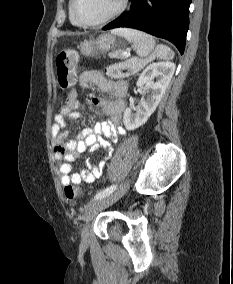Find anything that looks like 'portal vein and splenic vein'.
Instances as JSON below:
<instances>
[{"label": "portal vein and splenic vein", "mask_w": 233, "mask_h": 284, "mask_svg": "<svg viewBox=\"0 0 233 284\" xmlns=\"http://www.w3.org/2000/svg\"><path fill=\"white\" fill-rule=\"evenodd\" d=\"M123 55H124L125 57H129V56H130V53H129V52H124Z\"/></svg>", "instance_id": "1"}]
</instances>
